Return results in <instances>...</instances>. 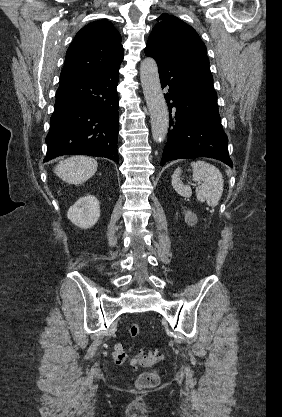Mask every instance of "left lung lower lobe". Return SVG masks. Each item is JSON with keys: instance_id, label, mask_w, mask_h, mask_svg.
Returning <instances> with one entry per match:
<instances>
[{"instance_id": "1", "label": "left lung lower lobe", "mask_w": 282, "mask_h": 417, "mask_svg": "<svg viewBox=\"0 0 282 417\" xmlns=\"http://www.w3.org/2000/svg\"><path fill=\"white\" fill-rule=\"evenodd\" d=\"M145 54L156 60L162 88L168 90L170 128L161 166L176 159L210 157L232 167L209 64L171 62L147 48Z\"/></svg>"}]
</instances>
